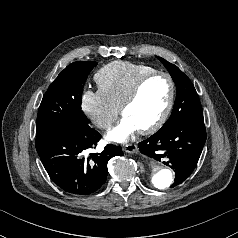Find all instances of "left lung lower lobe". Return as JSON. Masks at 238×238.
I'll list each match as a JSON object with an SVG mask.
<instances>
[{"label": "left lung lower lobe", "mask_w": 238, "mask_h": 238, "mask_svg": "<svg viewBox=\"0 0 238 238\" xmlns=\"http://www.w3.org/2000/svg\"><path fill=\"white\" fill-rule=\"evenodd\" d=\"M206 141L204 119H184L161 128L139 143V150L175 171L171 188L185 181L195 169Z\"/></svg>", "instance_id": "1"}]
</instances>
